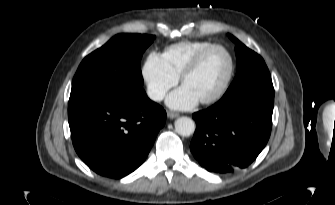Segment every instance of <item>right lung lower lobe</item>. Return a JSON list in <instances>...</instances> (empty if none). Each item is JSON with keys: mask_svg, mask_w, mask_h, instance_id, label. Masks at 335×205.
I'll return each instance as SVG.
<instances>
[{"mask_svg": "<svg viewBox=\"0 0 335 205\" xmlns=\"http://www.w3.org/2000/svg\"><path fill=\"white\" fill-rule=\"evenodd\" d=\"M68 119L74 148L96 173L122 178L146 159L166 112L144 91L94 94L70 100Z\"/></svg>", "mask_w": 335, "mask_h": 205, "instance_id": "98d812e1", "label": "right lung lower lobe"}]
</instances>
